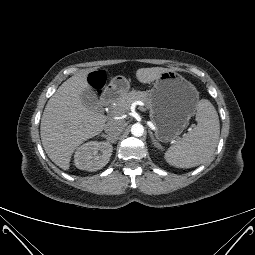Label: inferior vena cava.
Instances as JSON below:
<instances>
[{
  "label": "inferior vena cava",
  "mask_w": 255,
  "mask_h": 255,
  "mask_svg": "<svg viewBox=\"0 0 255 255\" xmlns=\"http://www.w3.org/2000/svg\"><path fill=\"white\" fill-rule=\"evenodd\" d=\"M125 128L123 120H111L105 124L104 130L111 140L115 141L116 136L121 134Z\"/></svg>",
  "instance_id": "1"
}]
</instances>
